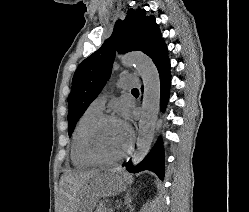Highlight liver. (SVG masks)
I'll list each match as a JSON object with an SVG mask.
<instances>
[{
    "label": "liver",
    "instance_id": "1",
    "mask_svg": "<svg viewBox=\"0 0 249 212\" xmlns=\"http://www.w3.org/2000/svg\"><path fill=\"white\" fill-rule=\"evenodd\" d=\"M93 178V194L96 198H110L125 192L128 174L123 168L106 170L104 174L95 172H69L66 176L69 198H67L68 212H78L80 200L83 196L82 188Z\"/></svg>",
    "mask_w": 249,
    "mask_h": 212
}]
</instances>
